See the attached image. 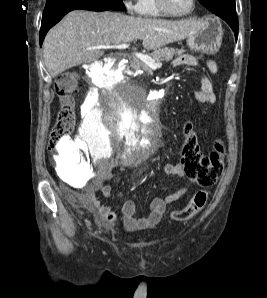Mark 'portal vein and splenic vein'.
<instances>
[{
  "mask_svg": "<svg viewBox=\"0 0 267 298\" xmlns=\"http://www.w3.org/2000/svg\"><path fill=\"white\" fill-rule=\"evenodd\" d=\"M129 47V44H119V45H99L95 47L88 48V50H102V49H119L124 50ZM135 56L144 62L149 68L157 69L162 66V63L159 61H155L150 56L142 54V53H135Z\"/></svg>",
  "mask_w": 267,
  "mask_h": 298,
  "instance_id": "18ae733b",
  "label": "portal vein and splenic vein"
}]
</instances>
